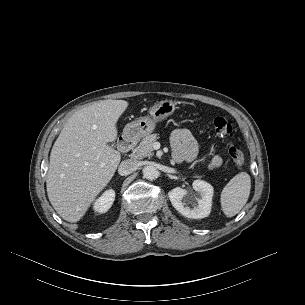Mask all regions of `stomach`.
I'll use <instances>...</instances> for the list:
<instances>
[{
    "label": "stomach",
    "instance_id": "stomach-1",
    "mask_svg": "<svg viewBox=\"0 0 305 305\" xmlns=\"http://www.w3.org/2000/svg\"><path fill=\"white\" fill-rule=\"evenodd\" d=\"M176 105L172 100H162L154 104L149 110V116L128 123L123 129L125 139H139L155 130L158 122L172 115Z\"/></svg>",
    "mask_w": 305,
    "mask_h": 305
}]
</instances>
